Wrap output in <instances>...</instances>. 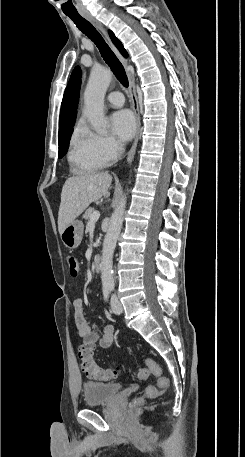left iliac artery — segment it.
<instances>
[{
	"label": "left iliac artery",
	"mask_w": 245,
	"mask_h": 457,
	"mask_svg": "<svg viewBox=\"0 0 245 457\" xmlns=\"http://www.w3.org/2000/svg\"><path fill=\"white\" fill-rule=\"evenodd\" d=\"M113 288H114L113 286L110 287V289H113Z\"/></svg>",
	"instance_id": "obj_1"
}]
</instances>
